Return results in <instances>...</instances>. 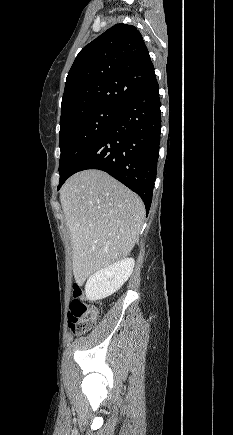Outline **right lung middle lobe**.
Listing matches in <instances>:
<instances>
[{
  "mask_svg": "<svg viewBox=\"0 0 233 435\" xmlns=\"http://www.w3.org/2000/svg\"><path fill=\"white\" fill-rule=\"evenodd\" d=\"M121 108L101 106L60 122V180L98 140Z\"/></svg>",
  "mask_w": 233,
  "mask_h": 435,
  "instance_id": "dd1d6c3e",
  "label": "right lung middle lobe"
}]
</instances>
